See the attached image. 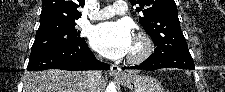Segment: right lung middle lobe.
I'll return each instance as SVG.
<instances>
[{"mask_svg": "<svg viewBox=\"0 0 225 92\" xmlns=\"http://www.w3.org/2000/svg\"><path fill=\"white\" fill-rule=\"evenodd\" d=\"M75 25V22L40 24L31 51L82 42L84 38H80V31H77Z\"/></svg>", "mask_w": 225, "mask_h": 92, "instance_id": "1", "label": "right lung middle lobe"}]
</instances>
